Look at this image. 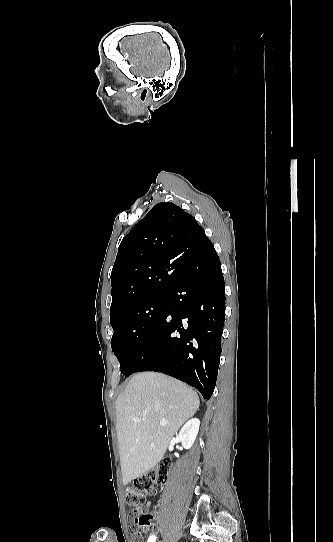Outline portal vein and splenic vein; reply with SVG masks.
<instances>
[{
  "instance_id": "18ae733b",
  "label": "portal vein and splenic vein",
  "mask_w": 333,
  "mask_h": 542,
  "mask_svg": "<svg viewBox=\"0 0 333 542\" xmlns=\"http://www.w3.org/2000/svg\"><path fill=\"white\" fill-rule=\"evenodd\" d=\"M139 422H146V418H142ZM160 426H167V422H160Z\"/></svg>"
}]
</instances>
